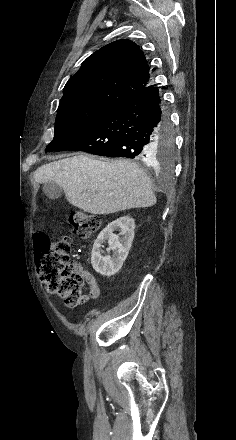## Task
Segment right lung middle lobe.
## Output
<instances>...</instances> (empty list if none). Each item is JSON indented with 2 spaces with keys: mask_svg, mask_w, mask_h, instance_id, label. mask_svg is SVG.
Returning <instances> with one entry per match:
<instances>
[{
  "mask_svg": "<svg viewBox=\"0 0 236 440\" xmlns=\"http://www.w3.org/2000/svg\"><path fill=\"white\" fill-rule=\"evenodd\" d=\"M115 107L114 105L91 101L60 104L55 121L54 139L47 146L46 151L56 148L72 137L84 132ZM156 146L158 148V159L163 163L170 161L173 155L174 140L169 130L161 133L156 140Z\"/></svg>",
  "mask_w": 236,
  "mask_h": 440,
  "instance_id": "right-lung-middle-lobe-1",
  "label": "right lung middle lobe"
}]
</instances>
